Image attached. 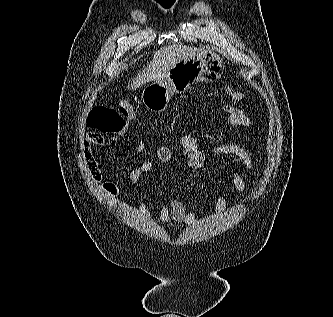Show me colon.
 Masks as SVG:
<instances>
[{"label": "colon", "mask_w": 333, "mask_h": 317, "mask_svg": "<svg viewBox=\"0 0 333 317\" xmlns=\"http://www.w3.org/2000/svg\"><path fill=\"white\" fill-rule=\"evenodd\" d=\"M227 94L233 101H240L244 94L234 89H227ZM137 120L131 103L122 102L118 107L98 106L91 110L88 125L103 134L125 135Z\"/></svg>", "instance_id": "1"}]
</instances>
